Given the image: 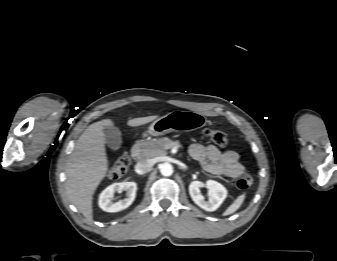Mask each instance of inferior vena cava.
<instances>
[{
    "label": "inferior vena cava",
    "mask_w": 337,
    "mask_h": 261,
    "mask_svg": "<svg viewBox=\"0 0 337 261\" xmlns=\"http://www.w3.org/2000/svg\"><path fill=\"white\" fill-rule=\"evenodd\" d=\"M153 166V161L151 160H142L135 165V171L138 174H145L151 170Z\"/></svg>",
    "instance_id": "inferior-vena-cava-1"
}]
</instances>
